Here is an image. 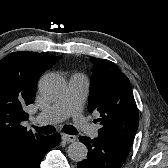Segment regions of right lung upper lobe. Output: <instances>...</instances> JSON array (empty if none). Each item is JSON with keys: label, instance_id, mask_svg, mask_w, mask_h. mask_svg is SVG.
Here are the masks:
<instances>
[{"label": "right lung upper lobe", "instance_id": "1", "mask_svg": "<svg viewBox=\"0 0 168 168\" xmlns=\"http://www.w3.org/2000/svg\"><path fill=\"white\" fill-rule=\"evenodd\" d=\"M61 56L13 52L0 61V168H10L15 157L44 136L22 126L23 110L33 103L40 75Z\"/></svg>", "mask_w": 168, "mask_h": 168}]
</instances>
